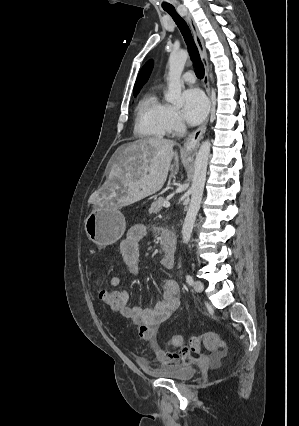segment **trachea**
<instances>
[{"instance_id":"obj_1","label":"trachea","mask_w":299,"mask_h":426,"mask_svg":"<svg viewBox=\"0 0 299 426\" xmlns=\"http://www.w3.org/2000/svg\"><path fill=\"white\" fill-rule=\"evenodd\" d=\"M164 10L173 18L176 25L180 29V32L182 33L184 40L186 42V45L188 47V51L190 53L191 59L195 63L197 77L199 79H202L204 77V72H205L204 65L200 59L198 49L196 47V44L194 43L193 37L191 35L190 29L187 23L179 16L175 8L171 7Z\"/></svg>"}]
</instances>
